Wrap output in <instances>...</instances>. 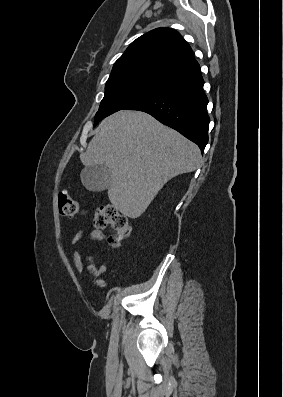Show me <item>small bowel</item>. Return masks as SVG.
I'll list each match as a JSON object with an SVG mask.
<instances>
[{"instance_id":"obj_1","label":"small bowel","mask_w":283,"mask_h":397,"mask_svg":"<svg viewBox=\"0 0 283 397\" xmlns=\"http://www.w3.org/2000/svg\"><path fill=\"white\" fill-rule=\"evenodd\" d=\"M105 233L100 229H93L91 231L86 232L84 229H79L72 237L70 244L73 248V262L74 266L78 273H81L83 270L81 253L79 250V245L85 240L98 241L102 242L105 239ZM106 268L104 266L100 267L98 270V275H101L105 272Z\"/></svg>"}]
</instances>
